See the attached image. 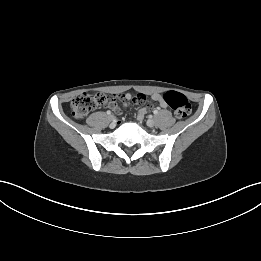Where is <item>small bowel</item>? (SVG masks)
<instances>
[{
    "instance_id": "obj_1",
    "label": "small bowel",
    "mask_w": 261,
    "mask_h": 261,
    "mask_svg": "<svg viewBox=\"0 0 261 261\" xmlns=\"http://www.w3.org/2000/svg\"><path fill=\"white\" fill-rule=\"evenodd\" d=\"M121 100L123 101V105H129L136 106L137 104H141L143 107H146L148 104H150L149 97L146 94L138 93L134 97L131 98L129 94H122ZM131 98V99H130ZM151 99L154 102H157L162 108H167L168 104L164 101L162 94L154 93L151 95ZM118 100L117 98H111L108 100V102L104 103V108L111 107L112 109L116 110L117 114H122V109L118 107ZM147 112L146 108H140L138 111V117L142 118Z\"/></svg>"
}]
</instances>
